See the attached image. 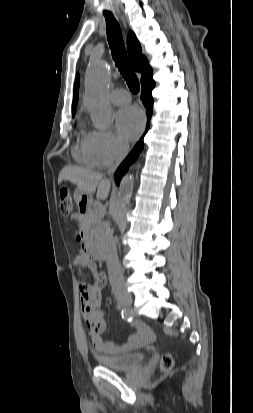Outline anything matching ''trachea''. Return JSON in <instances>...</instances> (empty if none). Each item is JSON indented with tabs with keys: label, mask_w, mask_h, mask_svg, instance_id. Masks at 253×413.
Listing matches in <instances>:
<instances>
[{
	"label": "trachea",
	"mask_w": 253,
	"mask_h": 413,
	"mask_svg": "<svg viewBox=\"0 0 253 413\" xmlns=\"http://www.w3.org/2000/svg\"><path fill=\"white\" fill-rule=\"evenodd\" d=\"M104 16L107 24V40L110 45L115 64L122 76L125 78L129 89L136 94L140 90V84L128 61L121 28L112 14H104Z\"/></svg>",
	"instance_id": "3493384b"
}]
</instances>
